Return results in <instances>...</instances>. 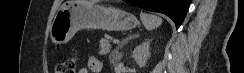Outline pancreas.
I'll return each mask as SVG.
<instances>
[{"instance_id":"cf45deb5","label":"pancreas","mask_w":244,"mask_h":73,"mask_svg":"<svg viewBox=\"0 0 244 73\" xmlns=\"http://www.w3.org/2000/svg\"><path fill=\"white\" fill-rule=\"evenodd\" d=\"M111 45L107 38L100 40L99 55H107L110 52Z\"/></svg>"}]
</instances>
